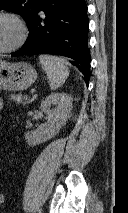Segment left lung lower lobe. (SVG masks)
Segmentation results:
<instances>
[{
    "mask_svg": "<svg viewBox=\"0 0 128 213\" xmlns=\"http://www.w3.org/2000/svg\"><path fill=\"white\" fill-rule=\"evenodd\" d=\"M40 11L44 16H40ZM85 0H39L28 26L29 37L12 56L56 54L72 58L89 82L90 52Z\"/></svg>",
    "mask_w": 128,
    "mask_h": 213,
    "instance_id": "1",
    "label": "left lung lower lobe"
}]
</instances>
